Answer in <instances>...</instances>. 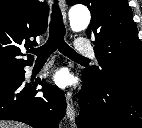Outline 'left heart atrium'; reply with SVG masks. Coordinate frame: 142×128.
Masks as SVG:
<instances>
[{
	"label": "left heart atrium",
	"instance_id": "left-heart-atrium-1",
	"mask_svg": "<svg viewBox=\"0 0 142 128\" xmlns=\"http://www.w3.org/2000/svg\"><path fill=\"white\" fill-rule=\"evenodd\" d=\"M53 79L58 86H64L67 82V74L64 71H58Z\"/></svg>",
	"mask_w": 142,
	"mask_h": 128
}]
</instances>
